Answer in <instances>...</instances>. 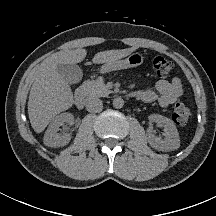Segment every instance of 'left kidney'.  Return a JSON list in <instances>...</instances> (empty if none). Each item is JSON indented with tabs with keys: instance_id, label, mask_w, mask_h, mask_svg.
I'll use <instances>...</instances> for the list:
<instances>
[{
	"instance_id": "5707ae66",
	"label": "left kidney",
	"mask_w": 216,
	"mask_h": 216,
	"mask_svg": "<svg viewBox=\"0 0 216 216\" xmlns=\"http://www.w3.org/2000/svg\"><path fill=\"white\" fill-rule=\"evenodd\" d=\"M149 121L161 125L165 132V138L160 139L154 136L151 131H148V143L152 148L159 151H172L180 147L179 133L172 120L162 115L151 114L149 116Z\"/></svg>"
}]
</instances>
